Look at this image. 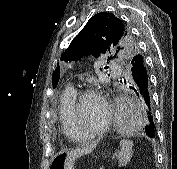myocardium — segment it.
<instances>
[{"instance_id": "myocardium-1", "label": "myocardium", "mask_w": 177, "mask_h": 169, "mask_svg": "<svg viewBox=\"0 0 177 169\" xmlns=\"http://www.w3.org/2000/svg\"><path fill=\"white\" fill-rule=\"evenodd\" d=\"M88 96L97 97L102 101L106 109V118L103 125L99 129L88 134H80L78 132V111L83 99ZM70 115H71V121H72V126H73L76 140H84V139L93 138L104 134L109 129L112 121V109L106 96L99 90L92 87H86L80 89L77 92L76 98L71 107Z\"/></svg>"}]
</instances>
